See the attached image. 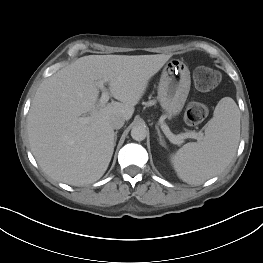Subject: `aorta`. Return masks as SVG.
I'll return each mask as SVG.
<instances>
[{
  "label": "aorta",
  "instance_id": "aorta-1",
  "mask_svg": "<svg viewBox=\"0 0 263 263\" xmlns=\"http://www.w3.org/2000/svg\"><path fill=\"white\" fill-rule=\"evenodd\" d=\"M147 136V130L144 126L137 125L131 130V137L136 141H142Z\"/></svg>",
  "mask_w": 263,
  "mask_h": 263
}]
</instances>
